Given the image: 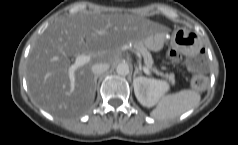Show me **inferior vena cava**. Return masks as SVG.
Returning a JSON list of instances; mask_svg holds the SVG:
<instances>
[{"label":"inferior vena cava","instance_id":"602c4592","mask_svg":"<svg viewBox=\"0 0 238 145\" xmlns=\"http://www.w3.org/2000/svg\"><path fill=\"white\" fill-rule=\"evenodd\" d=\"M108 63H96L92 66V73L96 76L106 72L109 69Z\"/></svg>","mask_w":238,"mask_h":145}]
</instances>
